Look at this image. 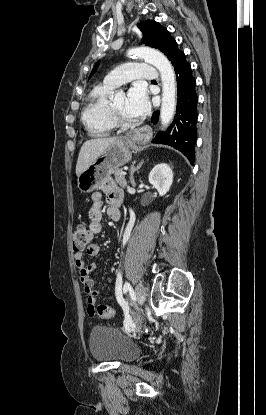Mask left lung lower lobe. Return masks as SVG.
<instances>
[{
    "instance_id": "left-lung-lower-lobe-1",
    "label": "left lung lower lobe",
    "mask_w": 266,
    "mask_h": 415,
    "mask_svg": "<svg viewBox=\"0 0 266 415\" xmlns=\"http://www.w3.org/2000/svg\"><path fill=\"white\" fill-rule=\"evenodd\" d=\"M174 69L177 77V108L174 121L165 133H159L153 143H161L181 151L194 163L195 144L197 139V102L195 79L192 76L191 66L182 52L175 60ZM159 112L151 117L153 123L158 121Z\"/></svg>"
}]
</instances>
